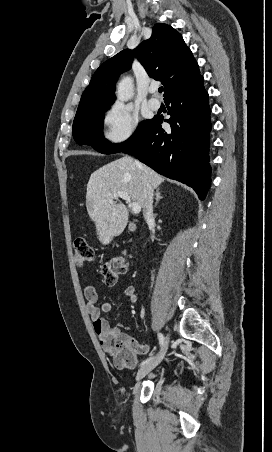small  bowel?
Wrapping results in <instances>:
<instances>
[{
  "label": "small bowel",
  "instance_id": "obj_1",
  "mask_svg": "<svg viewBox=\"0 0 272 452\" xmlns=\"http://www.w3.org/2000/svg\"><path fill=\"white\" fill-rule=\"evenodd\" d=\"M124 296L131 302L136 303L138 298L136 294L135 287L127 286L123 291ZM84 295L86 299V310L89 314L95 333L100 338V343L104 351L108 352L106 348L107 339L110 336L125 335L129 339L130 336L122 332L119 327H112L109 325L106 319L102 317V314L109 313L112 309V305L108 302L102 303L100 306L97 305L98 302V292L96 288L92 285H87L84 289ZM133 340V339H132ZM138 354L145 355L149 353L150 346L148 344H137Z\"/></svg>",
  "mask_w": 272,
  "mask_h": 452
}]
</instances>
